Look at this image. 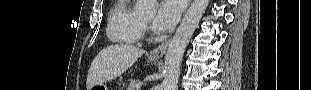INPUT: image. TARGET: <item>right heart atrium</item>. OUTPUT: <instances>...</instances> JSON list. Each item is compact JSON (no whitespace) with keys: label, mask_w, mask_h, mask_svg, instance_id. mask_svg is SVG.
<instances>
[{"label":"right heart atrium","mask_w":311,"mask_h":90,"mask_svg":"<svg viewBox=\"0 0 311 90\" xmlns=\"http://www.w3.org/2000/svg\"><path fill=\"white\" fill-rule=\"evenodd\" d=\"M142 27H143L144 30L146 29V25H143Z\"/></svg>","instance_id":"obj_1"}]
</instances>
